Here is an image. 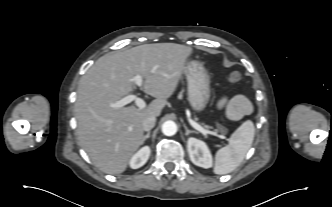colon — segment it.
Masks as SVG:
<instances>
[{
    "mask_svg": "<svg viewBox=\"0 0 332 207\" xmlns=\"http://www.w3.org/2000/svg\"><path fill=\"white\" fill-rule=\"evenodd\" d=\"M241 75L238 70H231L227 75V81L231 84H235L240 81ZM218 132L221 135H225L227 133V127L223 125L220 121L217 122Z\"/></svg>",
    "mask_w": 332,
    "mask_h": 207,
    "instance_id": "obj_1",
    "label": "colon"
}]
</instances>
